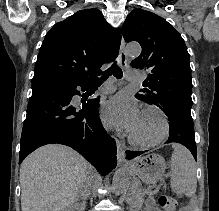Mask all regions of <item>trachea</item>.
<instances>
[{
    "mask_svg": "<svg viewBox=\"0 0 219 211\" xmlns=\"http://www.w3.org/2000/svg\"><path fill=\"white\" fill-rule=\"evenodd\" d=\"M114 75L117 79H120L122 78L123 76V72L121 70V68L116 64L114 63L111 68H109L108 70H106L103 75L101 76V78H98L95 83L93 84V86H97V85H102V83L104 81L107 80V78L110 76V75Z\"/></svg>",
    "mask_w": 219,
    "mask_h": 211,
    "instance_id": "3493384b",
    "label": "trachea"
}]
</instances>
